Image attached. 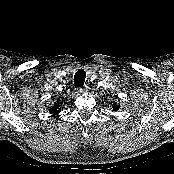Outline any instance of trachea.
<instances>
[{
	"label": "trachea",
	"instance_id": "obj_1",
	"mask_svg": "<svg viewBox=\"0 0 174 174\" xmlns=\"http://www.w3.org/2000/svg\"><path fill=\"white\" fill-rule=\"evenodd\" d=\"M86 72L78 70L74 75V85L76 88H82L85 82Z\"/></svg>",
	"mask_w": 174,
	"mask_h": 174
}]
</instances>
